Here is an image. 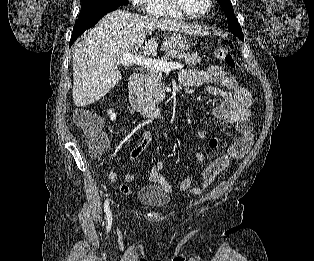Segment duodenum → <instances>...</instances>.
<instances>
[{
  "instance_id": "duodenum-1",
  "label": "duodenum",
  "mask_w": 314,
  "mask_h": 261,
  "mask_svg": "<svg viewBox=\"0 0 314 261\" xmlns=\"http://www.w3.org/2000/svg\"><path fill=\"white\" fill-rule=\"evenodd\" d=\"M143 76L139 73H134L129 81V102L131 107L141 115L150 119H160L163 117L164 110L147 101L142 92Z\"/></svg>"
}]
</instances>
